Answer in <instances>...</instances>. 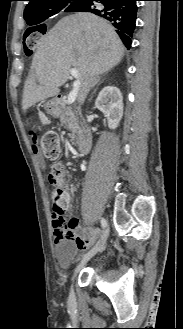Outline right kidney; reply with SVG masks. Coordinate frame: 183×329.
<instances>
[{"label": "right kidney", "instance_id": "obj_1", "mask_svg": "<svg viewBox=\"0 0 183 329\" xmlns=\"http://www.w3.org/2000/svg\"><path fill=\"white\" fill-rule=\"evenodd\" d=\"M95 107L107 117L110 129L118 127L123 116V97L117 87H104L95 101Z\"/></svg>", "mask_w": 183, "mask_h": 329}]
</instances>
